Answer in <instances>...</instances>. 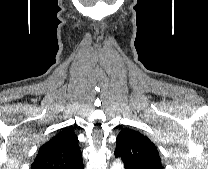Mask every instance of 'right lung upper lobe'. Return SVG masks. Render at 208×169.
Returning <instances> with one entry per match:
<instances>
[{
    "instance_id": "1",
    "label": "right lung upper lobe",
    "mask_w": 208,
    "mask_h": 169,
    "mask_svg": "<svg viewBox=\"0 0 208 169\" xmlns=\"http://www.w3.org/2000/svg\"><path fill=\"white\" fill-rule=\"evenodd\" d=\"M81 162L78 138L66 128L40 147L31 169H72Z\"/></svg>"
}]
</instances>
